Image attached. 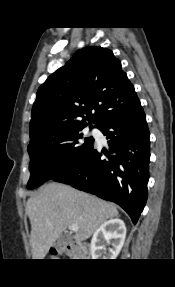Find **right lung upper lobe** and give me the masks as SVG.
I'll return each instance as SVG.
<instances>
[{
  "mask_svg": "<svg viewBox=\"0 0 175 287\" xmlns=\"http://www.w3.org/2000/svg\"><path fill=\"white\" fill-rule=\"evenodd\" d=\"M137 101L134 86L111 50L100 46L78 50L38 89L29 125L30 143L87 126L86 120L98 126Z\"/></svg>",
  "mask_w": 175,
  "mask_h": 287,
  "instance_id": "obj_1",
  "label": "right lung upper lobe"
}]
</instances>
